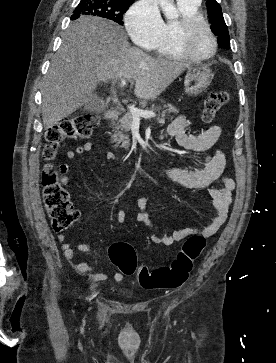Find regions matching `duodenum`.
I'll use <instances>...</instances> for the list:
<instances>
[{
    "mask_svg": "<svg viewBox=\"0 0 276 363\" xmlns=\"http://www.w3.org/2000/svg\"><path fill=\"white\" fill-rule=\"evenodd\" d=\"M119 115H120V111L115 107L109 108L105 113V116L108 119H114V118L118 117Z\"/></svg>",
    "mask_w": 276,
    "mask_h": 363,
    "instance_id": "410a0bca",
    "label": "duodenum"
}]
</instances>
